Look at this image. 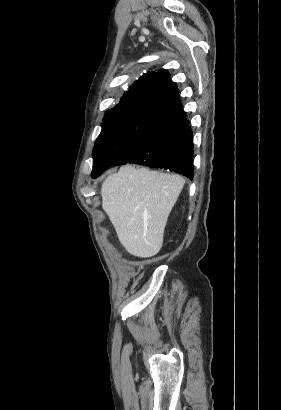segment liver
<instances>
[{
  "mask_svg": "<svg viewBox=\"0 0 281 410\" xmlns=\"http://www.w3.org/2000/svg\"><path fill=\"white\" fill-rule=\"evenodd\" d=\"M184 183L181 176L132 165L105 179L102 208L130 254L148 258L160 251L168 216Z\"/></svg>",
  "mask_w": 281,
  "mask_h": 410,
  "instance_id": "liver-1",
  "label": "liver"
}]
</instances>
